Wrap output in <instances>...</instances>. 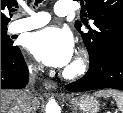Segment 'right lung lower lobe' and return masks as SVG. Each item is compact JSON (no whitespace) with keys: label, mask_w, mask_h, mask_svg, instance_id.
Here are the masks:
<instances>
[{"label":"right lung lower lobe","mask_w":123,"mask_h":113,"mask_svg":"<svg viewBox=\"0 0 123 113\" xmlns=\"http://www.w3.org/2000/svg\"><path fill=\"white\" fill-rule=\"evenodd\" d=\"M29 79V71L20 49L1 50V89L24 88Z\"/></svg>","instance_id":"obj_1"}]
</instances>
